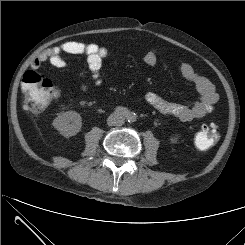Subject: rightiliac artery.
Listing matches in <instances>:
<instances>
[{
  "mask_svg": "<svg viewBox=\"0 0 245 245\" xmlns=\"http://www.w3.org/2000/svg\"><path fill=\"white\" fill-rule=\"evenodd\" d=\"M115 113L122 115L124 117H127L129 114L128 110L125 107H117L115 109Z\"/></svg>",
  "mask_w": 245,
  "mask_h": 245,
  "instance_id": "82829eb1",
  "label": "right iliac artery"
}]
</instances>
